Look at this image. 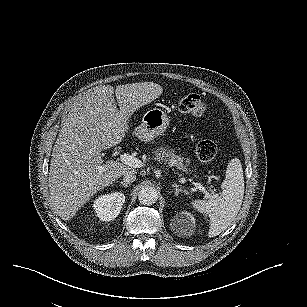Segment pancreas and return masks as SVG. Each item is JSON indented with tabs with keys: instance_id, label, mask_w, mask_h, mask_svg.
Here are the masks:
<instances>
[{
	"instance_id": "pancreas-1",
	"label": "pancreas",
	"mask_w": 307,
	"mask_h": 307,
	"mask_svg": "<svg viewBox=\"0 0 307 307\" xmlns=\"http://www.w3.org/2000/svg\"><path fill=\"white\" fill-rule=\"evenodd\" d=\"M153 159L159 163L168 164L170 167H176L179 170L187 171V166L183 163V159L174 153L173 149L168 147H158L152 152Z\"/></svg>"
}]
</instances>
